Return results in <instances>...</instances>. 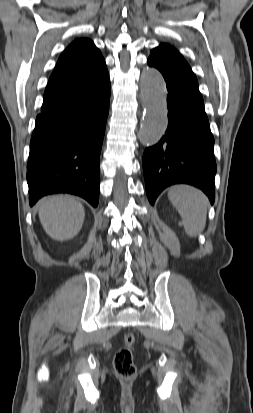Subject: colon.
Masks as SVG:
<instances>
[{
  "mask_svg": "<svg viewBox=\"0 0 253 413\" xmlns=\"http://www.w3.org/2000/svg\"><path fill=\"white\" fill-rule=\"evenodd\" d=\"M136 337L133 333L124 336L123 345L115 354L114 369L117 375L123 379H131L136 374V366L133 360V349Z\"/></svg>",
  "mask_w": 253,
  "mask_h": 413,
  "instance_id": "1",
  "label": "colon"
}]
</instances>
